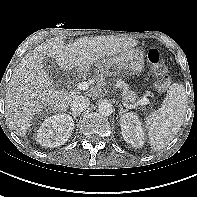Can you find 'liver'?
Returning a JSON list of instances; mask_svg holds the SVG:
<instances>
[{
    "instance_id": "liver-1",
    "label": "liver",
    "mask_w": 197,
    "mask_h": 197,
    "mask_svg": "<svg viewBox=\"0 0 197 197\" xmlns=\"http://www.w3.org/2000/svg\"><path fill=\"white\" fill-rule=\"evenodd\" d=\"M138 44L117 36L82 37L65 45L61 37L52 38L27 54L14 69L7 85L5 116L17 135L25 136L34 115L49 106L54 112L66 111L76 94L56 90L44 69L46 58L60 69L85 71L104 57L125 52Z\"/></svg>"
}]
</instances>
